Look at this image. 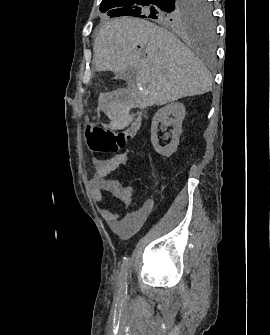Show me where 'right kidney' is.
Segmentation results:
<instances>
[{
    "label": "right kidney",
    "mask_w": 270,
    "mask_h": 335,
    "mask_svg": "<svg viewBox=\"0 0 270 335\" xmlns=\"http://www.w3.org/2000/svg\"><path fill=\"white\" fill-rule=\"evenodd\" d=\"M185 114V106L179 104V102H171V104H167V106L156 112L151 124V144H153L155 152H158L161 156H166V158H169L173 152H176ZM169 116H173V118H169ZM159 122H162L165 128L173 126L172 140L165 148L159 146L157 136ZM166 136H169V134H166Z\"/></svg>",
    "instance_id": "obj_1"
}]
</instances>
